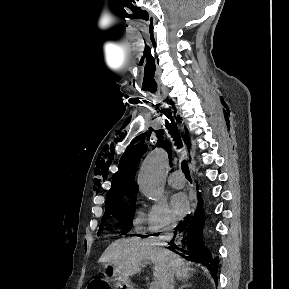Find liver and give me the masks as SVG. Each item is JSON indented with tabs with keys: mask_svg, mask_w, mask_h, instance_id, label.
<instances>
[{
	"mask_svg": "<svg viewBox=\"0 0 289 289\" xmlns=\"http://www.w3.org/2000/svg\"><path fill=\"white\" fill-rule=\"evenodd\" d=\"M149 261L154 265L153 275L159 288L166 266H170L179 280L188 279L189 271L193 270L174 252L156 247L149 240H141L137 237L114 241L99 259L100 263L111 264L119 274L127 278L140 273Z\"/></svg>",
	"mask_w": 289,
	"mask_h": 289,
	"instance_id": "obj_1",
	"label": "liver"
}]
</instances>
